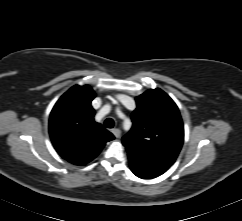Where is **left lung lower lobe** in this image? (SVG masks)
<instances>
[{"label":"left lung lower lobe","mask_w":242,"mask_h":221,"mask_svg":"<svg viewBox=\"0 0 242 221\" xmlns=\"http://www.w3.org/2000/svg\"><path fill=\"white\" fill-rule=\"evenodd\" d=\"M132 172L139 178L152 179L163 174L169 166L151 160L140 159L128 154Z\"/></svg>","instance_id":"obj_1"}]
</instances>
